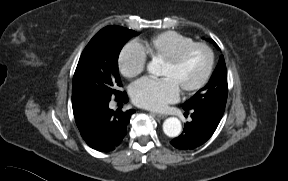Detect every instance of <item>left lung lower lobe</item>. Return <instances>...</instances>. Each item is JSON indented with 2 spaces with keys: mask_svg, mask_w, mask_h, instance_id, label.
I'll list each match as a JSON object with an SVG mask.
<instances>
[{
  "mask_svg": "<svg viewBox=\"0 0 288 181\" xmlns=\"http://www.w3.org/2000/svg\"><path fill=\"white\" fill-rule=\"evenodd\" d=\"M191 113V122H187L183 133L170 143L181 150H191L205 143L216 130L221 116L215 115L205 109L185 110Z\"/></svg>",
  "mask_w": 288,
  "mask_h": 181,
  "instance_id": "1",
  "label": "left lung lower lobe"
}]
</instances>
